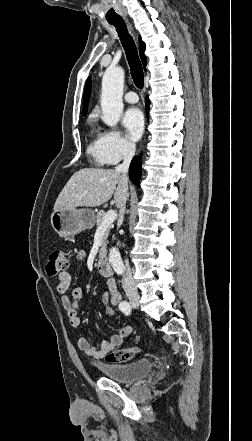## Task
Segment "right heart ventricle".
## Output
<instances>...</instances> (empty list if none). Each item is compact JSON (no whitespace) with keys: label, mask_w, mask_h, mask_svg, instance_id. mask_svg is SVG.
<instances>
[{"label":"right heart ventricle","mask_w":252,"mask_h":441,"mask_svg":"<svg viewBox=\"0 0 252 441\" xmlns=\"http://www.w3.org/2000/svg\"><path fill=\"white\" fill-rule=\"evenodd\" d=\"M101 136L102 134L93 127L91 129V140L87 147L88 154L98 165L105 164V160L101 150Z\"/></svg>","instance_id":"obj_1"}]
</instances>
